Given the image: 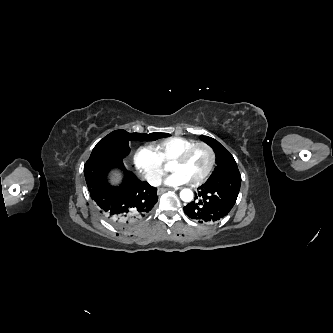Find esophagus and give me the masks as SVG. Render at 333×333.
<instances>
[{
    "label": "esophagus",
    "mask_w": 333,
    "mask_h": 333,
    "mask_svg": "<svg viewBox=\"0 0 333 333\" xmlns=\"http://www.w3.org/2000/svg\"><path fill=\"white\" fill-rule=\"evenodd\" d=\"M169 189L168 188H160L159 190H158V195H161V194H163L164 192H166V191H168Z\"/></svg>",
    "instance_id": "esophagus-1"
}]
</instances>
